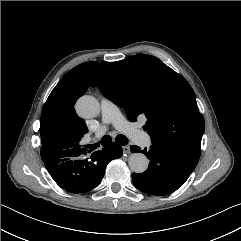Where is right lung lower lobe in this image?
Returning <instances> with one entry per match:
<instances>
[{
  "label": "right lung lower lobe",
  "mask_w": 241,
  "mask_h": 241,
  "mask_svg": "<svg viewBox=\"0 0 241 241\" xmlns=\"http://www.w3.org/2000/svg\"><path fill=\"white\" fill-rule=\"evenodd\" d=\"M80 152L66 157L42 156V161L51 177L63 189L71 193L88 192L99 185L107 164L122 156L117 143L96 151Z\"/></svg>",
  "instance_id": "1"
}]
</instances>
